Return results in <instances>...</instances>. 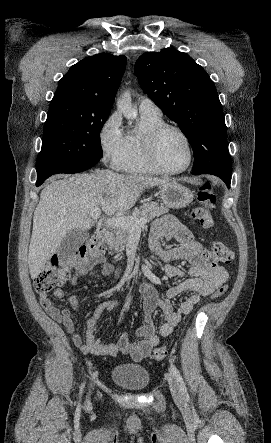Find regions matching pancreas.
<instances>
[{
    "label": "pancreas",
    "instance_id": "pancreas-1",
    "mask_svg": "<svg viewBox=\"0 0 271 443\" xmlns=\"http://www.w3.org/2000/svg\"><path fill=\"white\" fill-rule=\"evenodd\" d=\"M168 208L164 206H158L156 202H149V204H143L140 206V210H134L132 218H146V220H153L157 216H162V214H167ZM137 229V227H135ZM132 229H122V227H117L114 235H106V243H108L111 249H116V251H122L129 239V235Z\"/></svg>",
    "mask_w": 271,
    "mask_h": 443
}]
</instances>
